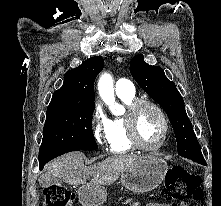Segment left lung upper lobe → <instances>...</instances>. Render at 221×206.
<instances>
[{
  "mask_svg": "<svg viewBox=\"0 0 221 206\" xmlns=\"http://www.w3.org/2000/svg\"><path fill=\"white\" fill-rule=\"evenodd\" d=\"M130 72L140 87L167 112L177 140L179 155L192 159H204L192 124L186 114L183 98L176 86L159 66L144 61L142 54L133 57Z\"/></svg>",
  "mask_w": 221,
  "mask_h": 206,
  "instance_id": "obj_1",
  "label": "left lung upper lobe"
}]
</instances>
